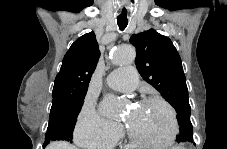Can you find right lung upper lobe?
<instances>
[{
  "instance_id": "right-lung-upper-lobe-1",
  "label": "right lung upper lobe",
  "mask_w": 227,
  "mask_h": 149,
  "mask_svg": "<svg viewBox=\"0 0 227 149\" xmlns=\"http://www.w3.org/2000/svg\"><path fill=\"white\" fill-rule=\"evenodd\" d=\"M99 56L94 32L78 38L64 56L55 78L52 97L85 96Z\"/></svg>"
}]
</instances>
